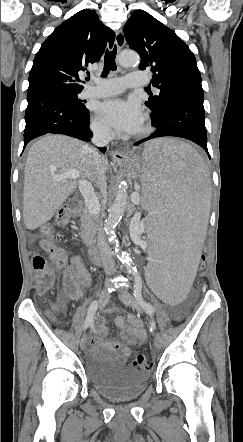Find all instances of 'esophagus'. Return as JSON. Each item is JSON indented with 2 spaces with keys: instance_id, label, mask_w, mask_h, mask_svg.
I'll list each match as a JSON object with an SVG mask.
<instances>
[{
  "instance_id": "34e87169",
  "label": "esophagus",
  "mask_w": 243,
  "mask_h": 442,
  "mask_svg": "<svg viewBox=\"0 0 243 442\" xmlns=\"http://www.w3.org/2000/svg\"><path fill=\"white\" fill-rule=\"evenodd\" d=\"M115 43H116L117 48L119 50L123 48V46L125 44V36H124L122 30H118L116 32ZM112 157L117 162H123V161H125L127 159L128 155H127V153H125L123 151L114 150L112 152Z\"/></svg>"
}]
</instances>
